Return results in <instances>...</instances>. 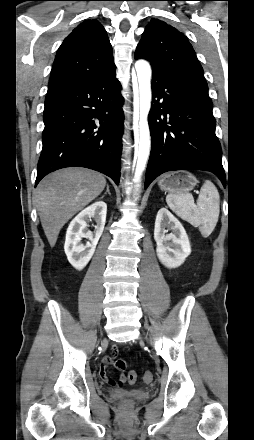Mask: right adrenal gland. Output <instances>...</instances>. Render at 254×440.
Masks as SVG:
<instances>
[{"mask_svg":"<svg viewBox=\"0 0 254 440\" xmlns=\"http://www.w3.org/2000/svg\"><path fill=\"white\" fill-rule=\"evenodd\" d=\"M109 194V195H111V193H110V190H109V185L107 184V187H106V192L104 193V195L105 194ZM104 195L102 196V198L104 197Z\"/></svg>","mask_w":254,"mask_h":440,"instance_id":"1","label":"right adrenal gland"}]
</instances>
